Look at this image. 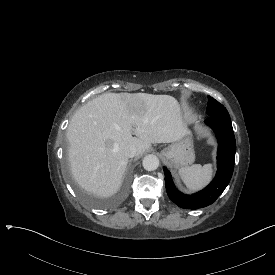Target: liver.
<instances>
[{
	"label": "liver",
	"mask_w": 275,
	"mask_h": 275,
	"mask_svg": "<svg viewBox=\"0 0 275 275\" xmlns=\"http://www.w3.org/2000/svg\"><path fill=\"white\" fill-rule=\"evenodd\" d=\"M187 133L180 105L172 96L104 93L77 110L69 123L72 176L84 190L110 197L122 185L127 145H135L141 154L152 143L178 141Z\"/></svg>",
	"instance_id": "6515ba94"
}]
</instances>
